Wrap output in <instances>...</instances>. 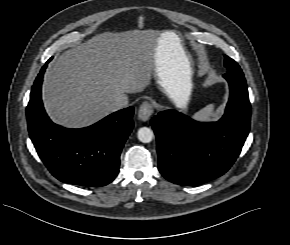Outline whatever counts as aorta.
Returning <instances> with one entry per match:
<instances>
[{"label": "aorta", "mask_w": 290, "mask_h": 245, "mask_svg": "<svg viewBox=\"0 0 290 245\" xmlns=\"http://www.w3.org/2000/svg\"><path fill=\"white\" fill-rule=\"evenodd\" d=\"M137 137L142 143H149L153 140L154 133L148 127H141L137 132Z\"/></svg>", "instance_id": "1"}]
</instances>
